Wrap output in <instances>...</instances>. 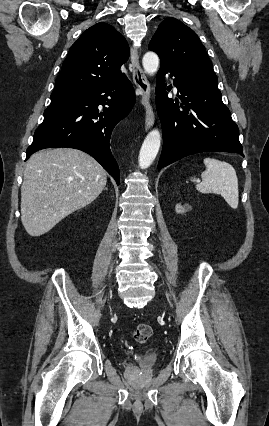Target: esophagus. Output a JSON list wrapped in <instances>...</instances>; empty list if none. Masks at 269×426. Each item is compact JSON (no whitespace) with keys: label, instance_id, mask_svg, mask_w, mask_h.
Wrapping results in <instances>:
<instances>
[{"label":"esophagus","instance_id":"obj_1","mask_svg":"<svg viewBox=\"0 0 269 426\" xmlns=\"http://www.w3.org/2000/svg\"><path fill=\"white\" fill-rule=\"evenodd\" d=\"M131 64L130 70L133 75V82L136 86L137 93L141 97V105L145 110V128L148 130L154 124V112L150 103L151 88L150 84L145 76V73L139 62V54L137 48L131 49Z\"/></svg>","mask_w":269,"mask_h":426}]
</instances>
